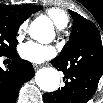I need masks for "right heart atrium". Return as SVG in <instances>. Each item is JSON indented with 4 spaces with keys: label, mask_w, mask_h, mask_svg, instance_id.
<instances>
[{
    "label": "right heart atrium",
    "mask_w": 103,
    "mask_h": 103,
    "mask_svg": "<svg viewBox=\"0 0 103 103\" xmlns=\"http://www.w3.org/2000/svg\"><path fill=\"white\" fill-rule=\"evenodd\" d=\"M26 28H27V24L26 22L22 23L19 28H18V31H17V38L20 39L23 34L25 33L26 31Z\"/></svg>",
    "instance_id": "d8ad5b80"
}]
</instances>
